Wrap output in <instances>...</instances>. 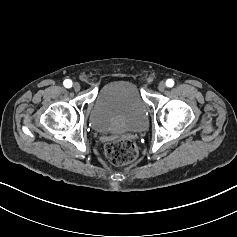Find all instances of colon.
Masks as SVG:
<instances>
[{
    "label": "colon",
    "instance_id": "1",
    "mask_svg": "<svg viewBox=\"0 0 237 237\" xmlns=\"http://www.w3.org/2000/svg\"><path fill=\"white\" fill-rule=\"evenodd\" d=\"M105 153L109 160L116 165H126L138 157L136 144L128 138L116 139L105 145Z\"/></svg>",
    "mask_w": 237,
    "mask_h": 237
}]
</instances>
